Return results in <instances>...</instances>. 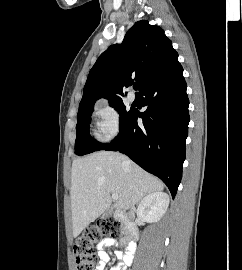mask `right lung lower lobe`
Returning <instances> with one entry per match:
<instances>
[{
    "mask_svg": "<svg viewBox=\"0 0 242 270\" xmlns=\"http://www.w3.org/2000/svg\"><path fill=\"white\" fill-rule=\"evenodd\" d=\"M183 68L175 61L140 91L147 110H133L119 134L101 150L119 151L158 176L175 197L182 177L189 100ZM143 119L138 125L137 118Z\"/></svg>",
    "mask_w": 242,
    "mask_h": 270,
    "instance_id": "right-lung-lower-lobe-1",
    "label": "right lung lower lobe"
}]
</instances>
